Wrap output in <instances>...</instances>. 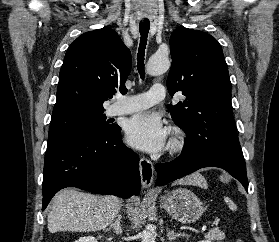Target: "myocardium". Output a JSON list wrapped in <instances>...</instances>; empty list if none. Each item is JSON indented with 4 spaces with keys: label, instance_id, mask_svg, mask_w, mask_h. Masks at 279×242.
I'll use <instances>...</instances> for the list:
<instances>
[{
    "label": "myocardium",
    "instance_id": "myocardium-1",
    "mask_svg": "<svg viewBox=\"0 0 279 242\" xmlns=\"http://www.w3.org/2000/svg\"><path fill=\"white\" fill-rule=\"evenodd\" d=\"M186 146V134L180 127H173L171 131L170 150L180 153Z\"/></svg>",
    "mask_w": 279,
    "mask_h": 242
}]
</instances>
